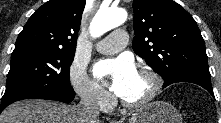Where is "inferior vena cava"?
I'll list each match as a JSON object with an SVG mask.
<instances>
[{
	"mask_svg": "<svg viewBox=\"0 0 221 123\" xmlns=\"http://www.w3.org/2000/svg\"><path fill=\"white\" fill-rule=\"evenodd\" d=\"M80 123H98L99 106L97 93L92 89H86L77 106Z\"/></svg>",
	"mask_w": 221,
	"mask_h": 123,
	"instance_id": "obj_1",
	"label": "inferior vena cava"
}]
</instances>
